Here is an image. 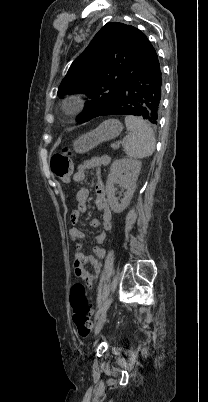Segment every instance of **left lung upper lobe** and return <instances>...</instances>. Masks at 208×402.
Returning <instances> with one entry per match:
<instances>
[{"mask_svg": "<svg viewBox=\"0 0 208 402\" xmlns=\"http://www.w3.org/2000/svg\"><path fill=\"white\" fill-rule=\"evenodd\" d=\"M134 27L109 22L71 64L57 95L84 93L91 100L86 112L78 116L87 122L111 104L118 90L136 66V44L131 38Z\"/></svg>", "mask_w": 208, "mask_h": 402, "instance_id": "left-lung-upper-lobe-1", "label": "left lung upper lobe"}]
</instances>
